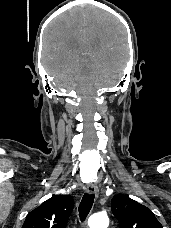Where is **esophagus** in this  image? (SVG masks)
<instances>
[{
  "instance_id": "esophagus-1",
  "label": "esophagus",
  "mask_w": 171,
  "mask_h": 228,
  "mask_svg": "<svg viewBox=\"0 0 171 228\" xmlns=\"http://www.w3.org/2000/svg\"><path fill=\"white\" fill-rule=\"evenodd\" d=\"M86 191L88 194H94L96 198L98 197V188L95 183L88 184Z\"/></svg>"
}]
</instances>
